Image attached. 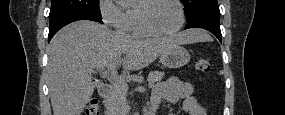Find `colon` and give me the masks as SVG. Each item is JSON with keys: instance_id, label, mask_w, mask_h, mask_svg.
<instances>
[{"instance_id": "5ec220e1", "label": "colon", "mask_w": 285, "mask_h": 115, "mask_svg": "<svg viewBox=\"0 0 285 115\" xmlns=\"http://www.w3.org/2000/svg\"><path fill=\"white\" fill-rule=\"evenodd\" d=\"M196 69L204 74H208L211 71V65L208 59L200 58L196 62ZM86 115H97L99 114V102L97 99H91L85 109Z\"/></svg>"}]
</instances>
